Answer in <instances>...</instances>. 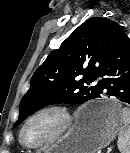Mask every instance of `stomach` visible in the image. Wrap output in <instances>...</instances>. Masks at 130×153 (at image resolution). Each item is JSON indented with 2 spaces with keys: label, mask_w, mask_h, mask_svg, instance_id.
<instances>
[{
  "label": "stomach",
  "mask_w": 130,
  "mask_h": 153,
  "mask_svg": "<svg viewBox=\"0 0 130 153\" xmlns=\"http://www.w3.org/2000/svg\"><path fill=\"white\" fill-rule=\"evenodd\" d=\"M92 114L84 117L83 114ZM122 107L114 99L84 106L75 125L43 153H95L108 146L122 125Z\"/></svg>",
  "instance_id": "obj_1"
}]
</instances>
